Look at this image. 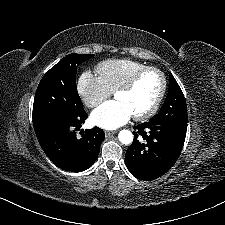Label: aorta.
<instances>
[{
	"label": "aorta",
	"instance_id": "762f6f07",
	"mask_svg": "<svg viewBox=\"0 0 225 225\" xmlns=\"http://www.w3.org/2000/svg\"><path fill=\"white\" fill-rule=\"evenodd\" d=\"M118 139L123 145H129L133 141V135L129 130H121L118 134Z\"/></svg>",
	"mask_w": 225,
	"mask_h": 225
}]
</instances>
